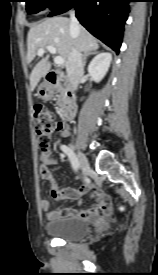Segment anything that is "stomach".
<instances>
[{
  "label": "stomach",
  "instance_id": "stomach-1",
  "mask_svg": "<svg viewBox=\"0 0 158 275\" xmlns=\"http://www.w3.org/2000/svg\"><path fill=\"white\" fill-rule=\"evenodd\" d=\"M37 96L44 101L50 100L53 97L52 85L47 81L41 83L37 90Z\"/></svg>",
  "mask_w": 158,
  "mask_h": 275
}]
</instances>
